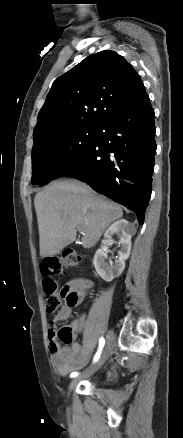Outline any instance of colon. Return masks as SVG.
Segmentation results:
<instances>
[{"label": "colon", "mask_w": 183, "mask_h": 438, "mask_svg": "<svg viewBox=\"0 0 183 438\" xmlns=\"http://www.w3.org/2000/svg\"><path fill=\"white\" fill-rule=\"evenodd\" d=\"M80 262V255L73 249H66L59 255L45 259L41 264L44 276L43 289L45 293V308L48 313L56 312L61 301L75 306L79 302V295L69 286H64L58 291L54 276L61 274L66 268L73 267ZM58 338L64 343L72 342L74 330L71 325L63 326L57 333Z\"/></svg>", "instance_id": "colon-1"}]
</instances>
